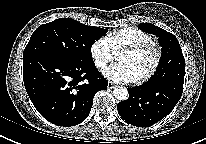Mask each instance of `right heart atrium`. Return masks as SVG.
Returning a JSON list of instances; mask_svg holds the SVG:
<instances>
[{
    "label": "right heart atrium",
    "instance_id": "obj_1",
    "mask_svg": "<svg viewBox=\"0 0 206 144\" xmlns=\"http://www.w3.org/2000/svg\"><path fill=\"white\" fill-rule=\"evenodd\" d=\"M90 56L94 65L103 70L114 59V52L111 49L106 37H101L92 42Z\"/></svg>",
    "mask_w": 206,
    "mask_h": 144
}]
</instances>
